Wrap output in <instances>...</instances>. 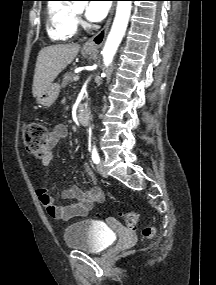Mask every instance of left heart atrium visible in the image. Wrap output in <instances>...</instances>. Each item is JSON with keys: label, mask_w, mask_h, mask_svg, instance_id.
<instances>
[{"label": "left heart atrium", "mask_w": 216, "mask_h": 285, "mask_svg": "<svg viewBox=\"0 0 216 285\" xmlns=\"http://www.w3.org/2000/svg\"><path fill=\"white\" fill-rule=\"evenodd\" d=\"M109 1H91L86 7V17L92 22L101 21L108 13Z\"/></svg>", "instance_id": "left-heart-atrium-1"}]
</instances>
